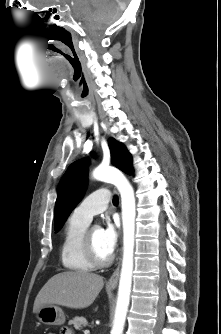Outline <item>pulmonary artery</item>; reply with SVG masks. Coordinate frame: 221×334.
<instances>
[{"label":"pulmonary artery","instance_id":"e3ab8cb5","mask_svg":"<svg viewBox=\"0 0 221 334\" xmlns=\"http://www.w3.org/2000/svg\"><path fill=\"white\" fill-rule=\"evenodd\" d=\"M111 199L106 188H100L88 195L73 211V215L83 221L90 222L94 215L103 212Z\"/></svg>","mask_w":221,"mask_h":334}]
</instances>
